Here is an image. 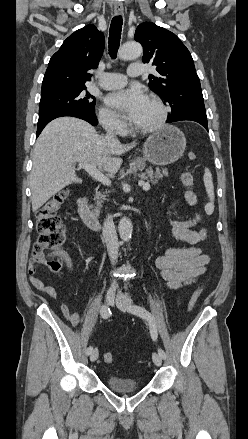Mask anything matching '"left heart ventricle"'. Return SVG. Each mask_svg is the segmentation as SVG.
<instances>
[{
	"mask_svg": "<svg viewBox=\"0 0 248 439\" xmlns=\"http://www.w3.org/2000/svg\"><path fill=\"white\" fill-rule=\"evenodd\" d=\"M160 116L158 107L151 101H147L139 117L133 121L135 125L146 127L154 124Z\"/></svg>",
	"mask_w": 248,
	"mask_h": 439,
	"instance_id": "1",
	"label": "left heart ventricle"
}]
</instances>
